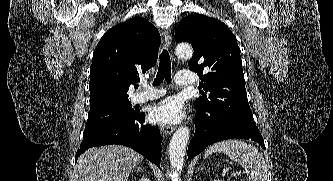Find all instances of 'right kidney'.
Listing matches in <instances>:
<instances>
[{
	"label": "right kidney",
	"mask_w": 333,
	"mask_h": 181,
	"mask_svg": "<svg viewBox=\"0 0 333 181\" xmlns=\"http://www.w3.org/2000/svg\"><path fill=\"white\" fill-rule=\"evenodd\" d=\"M139 181H150V179L147 177H142Z\"/></svg>",
	"instance_id": "ca27d5eb"
}]
</instances>
